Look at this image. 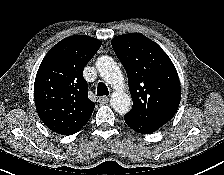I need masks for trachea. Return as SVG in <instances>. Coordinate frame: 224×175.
<instances>
[{"mask_svg":"<svg viewBox=\"0 0 224 175\" xmlns=\"http://www.w3.org/2000/svg\"><path fill=\"white\" fill-rule=\"evenodd\" d=\"M109 94L107 86L100 82L97 86V96H107Z\"/></svg>","mask_w":224,"mask_h":175,"instance_id":"3493384b","label":"trachea"}]
</instances>
